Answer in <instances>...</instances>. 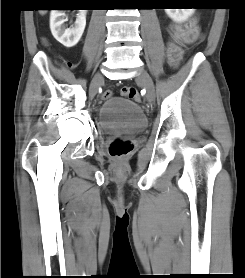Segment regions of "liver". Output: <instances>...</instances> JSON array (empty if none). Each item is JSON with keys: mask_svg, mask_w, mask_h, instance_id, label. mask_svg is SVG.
<instances>
[{"mask_svg": "<svg viewBox=\"0 0 245 278\" xmlns=\"http://www.w3.org/2000/svg\"><path fill=\"white\" fill-rule=\"evenodd\" d=\"M39 12H40L41 15H45L47 11L46 10H40Z\"/></svg>", "mask_w": 245, "mask_h": 278, "instance_id": "obj_1", "label": "liver"}]
</instances>
